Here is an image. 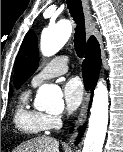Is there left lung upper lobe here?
I'll list each match as a JSON object with an SVG mask.
<instances>
[{
  "label": "left lung upper lobe",
  "instance_id": "5c2ea615",
  "mask_svg": "<svg viewBox=\"0 0 123 152\" xmlns=\"http://www.w3.org/2000/svg\"><path fill=\"white\" fill-rule=\"evenodd\" d=\"M38 60L37 37L35 33L30 30L21 44L15 61L14 83L16 88H20L36 71Z\"/></svg>",
  "mask_w": 123,
  "mask_h": 152
}]
</instances>
